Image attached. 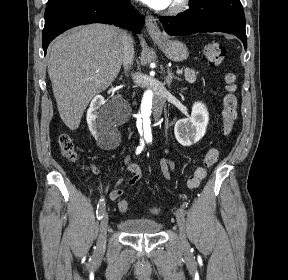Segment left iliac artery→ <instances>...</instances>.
Wrapping results in <instances>:
<instances>
[{"label": "left iliac artery", "instance_id": "1", "mask_svg": "<svg viewBox=\"0 0 288 280\" xmlns=\"http://www.w3.org/2000/svg\"><path fill=\"white\" fill-rule=\"evenodd\" d=\"M180 205H179V213L180 214H183V213H185V208H184V203L181 201L180 203H179Z\"/></svg>", "mask_w": 288, "mask_h": 280}]
</instances>
